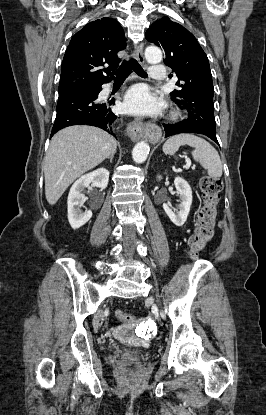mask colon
I'll list each match as a JSON object with an SVG mask.
<instances>
[{"mask_svg":"<svg viewBox=\"0 0 266 415\" xmlns=\"http://www.w3.org/2000/svg\"><path fill=\"white\" fill-rule=\"evenodd\" d=\"M203 204L197 213L196 228L188 240L189 256L196 259L206 244L214 236L217 218V207L220 201L222 182L214 177L205 175L200 181ZM119 320L126 324H135L136 318L122 310L116 313ZM133 368V364H130Z\"/></svg>","mask_w":266,"mask_h":415,"instance_id":"1","label":"colon"}]
</instances>
